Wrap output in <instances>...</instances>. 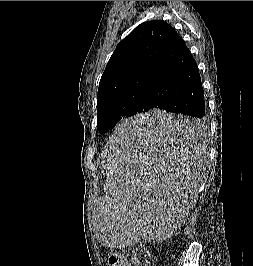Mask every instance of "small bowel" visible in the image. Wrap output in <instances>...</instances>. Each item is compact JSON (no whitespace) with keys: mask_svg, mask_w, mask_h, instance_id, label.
I'll use <instances>...</instances> for the list:
<instances>
[{"mask_svg":"<svg viewBox=\"0 0 253 266\" xmlns=\"http://www.w3.org/2000/svg\"><path fill=\"white\" fill-rule=\"evenodd\" d=\"M127 266H141L137 259L133 258L130 262H127Z\"/></svg>","mask_w":253,"mask_h":266,"instance_id":"small-bowel-1","label":"small bowel"}]
</instances>
